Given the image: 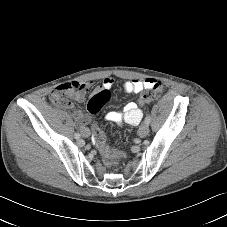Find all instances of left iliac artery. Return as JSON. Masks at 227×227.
<instances>
[{
	"mask_svg": "<svg viewBox=\"0 0 227 227\" xmlns=\"http://www.w3.org/2000/svg\"><path fill=\"white\" fill-rule=\"evenodd\" d=\"M150 121H151V117H150V115H147L144 122H145L146 124H149Z\"/></svg>",
	"mask_w": 227,
	"mask_h": 227,
	"instance_id": "left-iliac-artery-1",
	"label": "left iliac artery"
}]
</instances>
